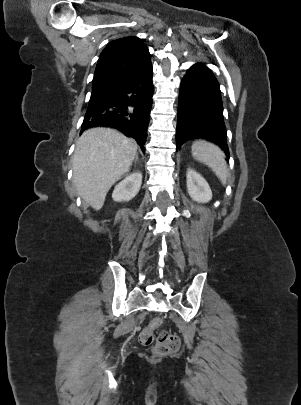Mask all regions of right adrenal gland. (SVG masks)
<instances>
[{"label":"right adrenal gland","mask_w":301,"mask_h":405,"mask_svg":"<svg viewBox=\"0 0 301 405\" xmlns=\"http://www.w3.org/2000/svg\"><path fill=\"white\" fill-rule=\"evenodd\" d=\"M138 162V154L136 153V155H135V163H137Z\"/></svg>","instance_id":"1"}]
</instances>
